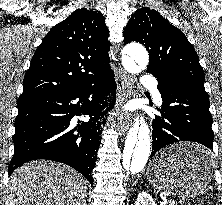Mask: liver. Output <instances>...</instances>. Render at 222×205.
Segmentation results:
<instances>
[{"label":"liver","instance_id":"obj_1","mask_svg":"<svg viewBox=\"0 0 222 205\" xmlns=\"http://www.w3.org/2000/svg\"><path fill=\"white\" fill-rule=\"evenodd\" d=\"M7 205H83L85 179L58 162L36 160L17 168L7 185Z\"/></svg>","mask_w":222,"mask_h":205}]
</instances>
